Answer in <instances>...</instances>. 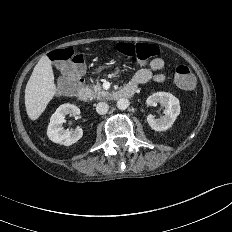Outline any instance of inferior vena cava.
Here are the masks:
<instances>
[{
  "label": "inferior vena cava",
  "instance_id": "602c4592",
  "mask_svg": "<svg viewBox=\"0 0 232 232\" xmlns=\"http://www.w3.org/2000/svg\"><path fill=\"white\" fill-rule=\"evenodd\" d=\"M109 110V106L105 102H99L96 106V111L98 114H106Z\"/></svg>",
  "mask_w": 232,
  "mask_h": 232
}]
</instances>
